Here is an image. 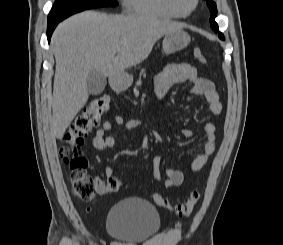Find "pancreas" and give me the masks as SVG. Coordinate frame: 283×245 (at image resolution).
<instances>
[{
    "label": "pancreas",
    "instance_id": "pancreas-1",
    "mask_svg": "<svg viewBox=\"0 0 283 245\" xmlns=\"http://www.w3.org/2000/svg\"><path fill=\"white\" fill-rule=\"evenodd\" d=\"M140 75H144V77H145V70L144 69H142V71H141V73H140ZM141 79H139L138 81H137V86H141ZM134 93H135V95H137L138 94V91H137V89L136 88H134Z\"/></svg>",
    "mask_w": 283,
    "mask_h": 245
}]
</instances>
